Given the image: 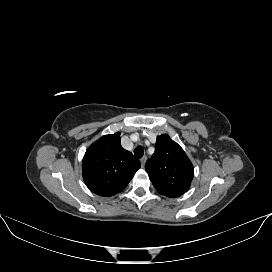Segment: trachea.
<instances>
[{
	"mask_svg": "<svg viewBox=\"0 0 272 272\" xmlns=\"http://www.w3.org/2000/svg\"><path fill=\"white\" fill-rule=\"evenodd\" d=\"M134 155L137 157V158H141L143 155H144V149L142 146H137L135 149H134Z\"/></svg>",
	"mask_w": 272,
	"mask_h": 272,
	"instance_id": "1",
	"label": "trachea"
}]
</instances>
